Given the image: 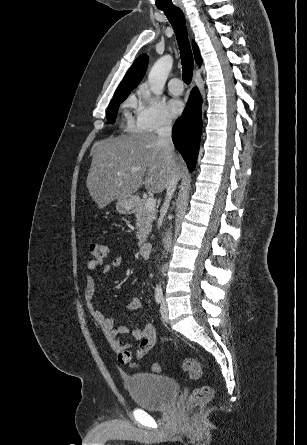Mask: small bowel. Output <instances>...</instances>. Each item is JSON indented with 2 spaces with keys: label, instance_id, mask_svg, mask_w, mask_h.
I'll list each match as a JSON object with an SVG mask.
<instances>
[{
  "label": "small bowel",
  "instance_id": "1",
  "mask_svg": "<svg viewBox=\"0 0 307 445\" xmlns=\"http://www.w3.org/2000/svg\"><path fill=\"white\" fill-rule=\"evenodd\" d=\"M124 264V258L118 256L112 260V262L103 268L104 274H110L113 270L121 267ZM98 263L95 260H91L87 264L89 272L95 270ZM96 292V282L91 274L85 277L84 296L86 306L91 316L93 317L96 325L99 327L112 349L118 355V361L123 365L135 366V361L143 358L149 353L157 343V336L155 327L148 323L141 329L132 331L131 335L137 342V347L134 351H131V344L122 343L119 336L129 334V329L126 326H117L113 324L111 318L105 317L99 312L94 303V295ZM128 311L134 312L142 308V301L135 297L132 298L128 304Z\"/></svg>",
  "mask_w": 307,
  "mask_h": 445
}]
</instances>
